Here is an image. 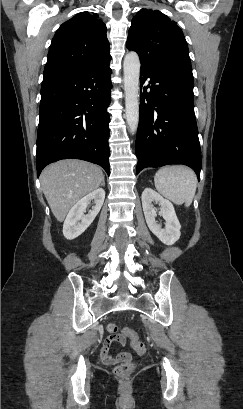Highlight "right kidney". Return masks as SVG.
Returning <instances> with one entry per match:
<instances>
[{
    "label": "right kidney",
    "mask_w": 243,
    "mask_h": 409,
    "mask_svg": "<svg viewBox=\"0 0 243 409\" xmlns=\"http://www.w3.org/2000/svg\"><path fill=\"white\" fill-rule=\"evenodd\" d=\"M104 199L105 191L98 188L87 194L70 209L63 224V234L66 239L73 240L77 238L91 225L99 213ZM92 200H94L95 206L85 215L86 208Z\"/></svg>",
    "instance_id": "ca27d5eb"
}]
</instances>
